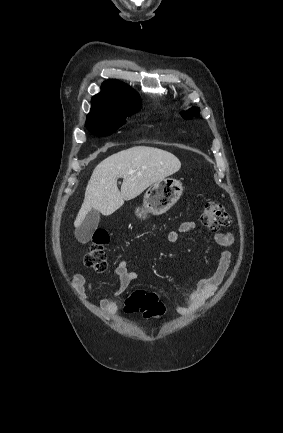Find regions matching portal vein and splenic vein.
<instances>
[{"label":"portal vein and splenic vein","mask_w":283,"mask_h":433,"mask_svg":"<svg viewBox=\"0 0 283 433\" xmlns=\"http://www.w3.org/2000/svg\"><path fill=\"white\" fill-rule=\"evenodd\" d=\"M132 172H136V170H129V172H127V174H132Z\"/></svg>","instance_id":"portal-vein-and-splenic-vein-1"}]
</instances>
